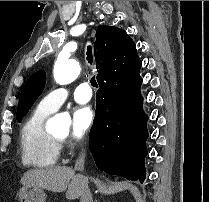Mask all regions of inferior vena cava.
<instances>
[{
	"label": "inferior vena cava",
	"mask_w": 209,
	"mask_h": 202,
	"mask_svg": "<svg viewBox=\"0 0 209 202\" xmlns=\"http://www.w3.org/2000/svg\"><path fill=\"white\" fill-rule=\"evenodd\" d=\"M84 162H85V154L84 151L80 153L79 157L77 158L75 162V170L83 171L84 169ZM80 202H93L92 201V194L90 192V189L88 187V183H86L85 187L83 188L81 192V198Z\"/></svg>",
	"instance_id": "inferior-vena-cava-1"
}]
</instances>
